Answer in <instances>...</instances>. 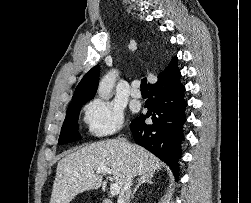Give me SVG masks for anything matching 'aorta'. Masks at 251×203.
Instances as JSON below:
<instances>
[{"mask_svg": "<svg viewBox=\"0 0 251 203\" xmlns=\"http://www.w3.org/2000/svg\"><path fill=\"white\" fill-rule=\"evenodd\" d=\"M118 72L116 70L108 72L100 81L98 86V95L102 99H109L111 91L116 83Z\"/></svg>", "mask_w": 251, "mask_h": 203, "instance_id": "1", "label": "aorta"}]
</instances>
